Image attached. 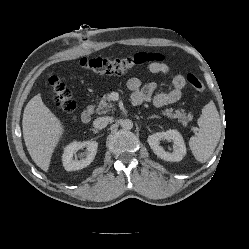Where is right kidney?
<instances>
[{
  "label": "right kidney",
  "mask_w": 249,
  "mask_h": 249,
  "mask_svg": "<svg viewBox=\"0 0 249 249\" xmlns=\"http://www.w3.org/2000/svg\"><path fill=\"white\" fill-rule=\"evenodd\" d=\"M98 143L96 141H84L77 142L74 141L66 146L64 153L62 155L63 166L67 171L80 170L88 166L95 158L97 153ZM86 148L85 158L80 160L74 159V154L80 150Z\"/></svg>",
  "instance_id": "obj_1"
}]
</instances>
